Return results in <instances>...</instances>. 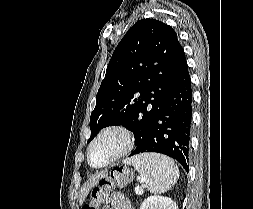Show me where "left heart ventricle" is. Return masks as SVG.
Returning <instances> with one entry per match:
<instances>
[{"label":"left heart ventricle","instance_id":"1","mask_svg":"<svg viewBox=\"0 0 253 209\" xmlns=\"http://www.w3.org/2000/svg\"><path fill=\"white\" fill-rule=\"evenodd\" d=\"M123 145V137L118 132H109L102 136L93 146L91 163L101 165L117 153Z\"/></svg>","mask_w":253,"mask_h":209}]
</instances>
